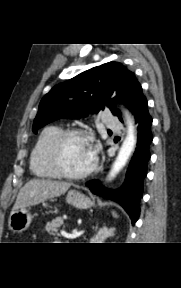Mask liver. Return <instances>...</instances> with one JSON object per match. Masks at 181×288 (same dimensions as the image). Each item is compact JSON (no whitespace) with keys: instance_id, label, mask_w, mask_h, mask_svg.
I'll return each instance as SVG.
<instances>
[{"instance_id":"liver-1","label":"liver","mask_w":181,"mask_h":288,"mask_svg":"<svg viewBox=\"0 0 181 288\" xmlns=\"http://www.w3.org/2000/svg\"><path fill=\"white\" fill-rule=\"evenodd\" d=\"M71 183L59 182L45 179H32L28 181L19 191L11 214L20 209L37 205L47 199L64 194Z\"/></svg>"}]
</instances>
